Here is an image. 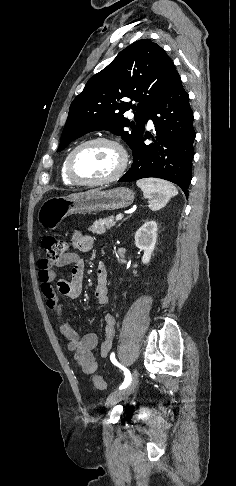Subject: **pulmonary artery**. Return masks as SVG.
Returning a JSON list of instances; mask_svg holds the SVG:
<instances>
[{
  "mask_svg": "<svg viewBox=\"0 0 236 486\" xmlns=\"http://www.w3.org/2000/svg\"><path fill=\"white\" fill-rule=\"evenodd\" d=\"M148 127H153V121L151 119L148 120Z\"/></svg>",
  "mask_w": 236,
  "mask_h": 486,
  "instance_id": "obj_1",
  "label": "pulmonary artery"
}]
</instances>
